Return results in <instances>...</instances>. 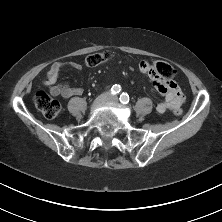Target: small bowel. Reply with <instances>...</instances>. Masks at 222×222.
<instances>
[{"label":"small bowel","mask_w":222,"mask_h":222,"mask_svg":"<svg viewBox=\"0 0 222 222\" xmlns=\"http://www.w3.org/2000/svg\"><path fill=\"white\" fill-rule=\"evenodd\" d=\"M69 66L75 70H82L83 66L78 62H55L46 73L44 85L48 87L49 92L54 96L69 98L81 95L83 90L78 87H71L66 83L57 84V79L63 68ZM140 72L153 80L156 89L164 96V101L160 102L156 110L158 113H165L170 110L180 109L184 102V96L180 87L174 81H167L158 74L152 64L142 62L139 66Z\"/></svg>","instance_id":"c3829d8e"}]
</instances>
